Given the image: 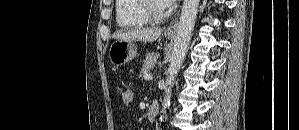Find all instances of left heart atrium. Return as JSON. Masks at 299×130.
I'll list each match as a JSON object with an SVG mask.
<instances>
[{
	"instance_id": "left-heart-atrium-1",
	"label": "left heart atrium",
	"mask_w": 299,
	"mask_h": 130,
	"mask_svg": "<svg viewBox=\"0 0 299 130\" xmlns=\"http://www.w3.org/2000/svg\"><path fill=\"white\" fill-rule=\"evenodd\" d=\"M167 6H170L174 1L173 0H164L163 1Z\"/></svg>"
}]
</instances>
